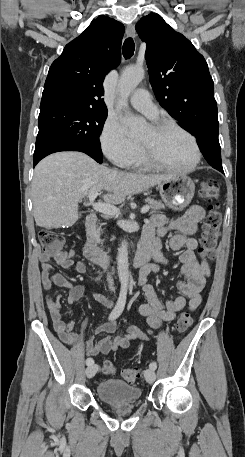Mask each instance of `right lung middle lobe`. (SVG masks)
Returning <instances> with one entry per match:
<instances>
[{
  "label": "right lung middle lobe",
  "instance_id": "1",
  "mask_svg": "<svg viewBox=\"0 0 245 457\" xmlns=\"http://www.w3.org/2000/svg\"><path fill=\"white\" fill-rule=\"evenodd\" d=\"M106 117V109L86 106H63L40 112L35 152L51 146H71L101 163L99 135Z\"/></svg>",
  "mask_w": 245,
  "mask_h": 457
}]
</instances>
